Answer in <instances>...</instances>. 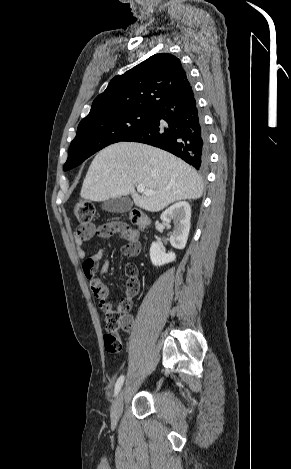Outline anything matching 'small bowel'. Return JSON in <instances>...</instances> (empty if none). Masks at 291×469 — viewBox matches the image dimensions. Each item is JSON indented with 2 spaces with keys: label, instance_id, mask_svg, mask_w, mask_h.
<instances>
[{
  "label": "small bowel",
  "instance_id": "1",
  "mask_svg": "<svg viewBox=\"0 0 291 469\" xmlns=\"http://www.w3.org/2000/svg\"><path fill=\"white\" fill-rule=\"evenodd\" d=\"M99 229L104 230L100 235L101 237H110L112 235L119 234L125 238L127 241L125 247L130 249L128 252H125V255L130 257L138 254L139 242L137 231L120 222H109L101 225L98 229H96L95 225L92 224L90 234H82L78 228L74 233V243L76 246L77 256L84 260V273L90 280L91 290L94 296L99 300L100 308L105 312L106 310L111 309L112 305L107 301L109 294L108 288L102 283L100 277L110 270L111 264L105 250L101 249L97 253L88 256L84 248L85 241L89 240ZM101 260H104V263L99 269H97L96 264ZM90 263L94 264L93 268L88 267Z\"/></svg>",
  "mask_w": 291,
  "mask_h": 469
}]
</instances>
